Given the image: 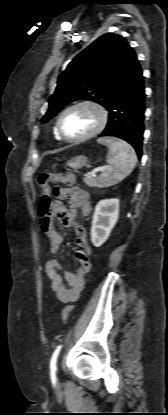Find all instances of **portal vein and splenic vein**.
I'll list each match as a JSON object with an SVG mask.
<instances>
[{
	"label": "portal vein and splenic vein",
	"mask_w": 168,
	"mask_h": 415,
	"mask_svg": "<svg viewBox=\"0 0 168 415\" xmlns=\"http://www.w3.org/2000/svg\"><path fill=\"white\" fill-rule=\"evenodd\" d=\"M106 170V167H101L97 170H94L92 172L89 173L90 177H96L98 172H104Z\"/></svg>",
	"instance_id": "1"
}]
</instances>
